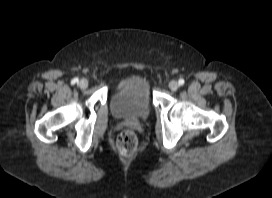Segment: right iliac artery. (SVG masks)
<instances>
[{
  "instance_id": "82829eb1",
  "label": "right iliac artery",
  "mask_w": 272,
  "mask_h": 198,
  "mask_svg": "<svg viewBox=\"0 0 272 198\" xmlns=\"http://www.w3.org/2000/svg\"><path fill=\"white\" fill-rule=\"evenodd\" d=\"M78 82V78H74L73 80H72V83L73 84H75V83H77Z\"/></svg>"
}]
</instances>
